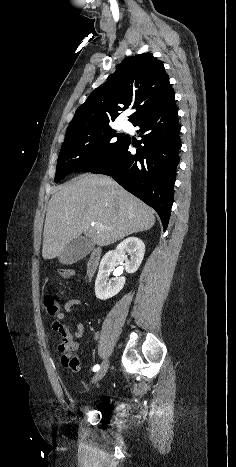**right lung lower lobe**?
<instances>
[{
  "mask_svg": "<svg viewBox=\"0 0 236 467\" xmlns=\"http://www.w3.org/2000/svg\"><path fill=\"white\" fill-rule=\"evenodd\" d=\"M134 126L140 127L142 135L136 154L130 152L132 142L129 137L111 159L89 172L112 176L123 188L155 209L165 231L181 148L175 100L148 114Z\"/></svg>",
  "mask_w": 236,
  "mask_h": 467,
  "instance_id": "obj_1",
  "label": "right lung lower lobe"
}]
</instances>
